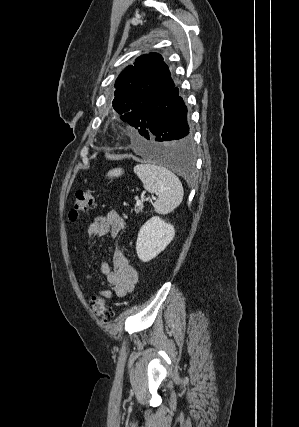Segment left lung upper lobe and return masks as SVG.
<instances>
[{"label": "left lung upper lobe", "mask_w": 299, "mask_h": 427, "mask_svg": "<svg viewBox=\"0 0 299 427\" xmlns=\"http://www.w3.org/2000/svg\"><path fill=\"white\" fill-rule=\"evenodd\" d=\"M175 87L168 66L160 54L149 53L127 66L115 82L113 108L121 119L133 125L139 109L162 101Z\"/></svg>", "instance_id": "left-lung-upper-lobe-1"}]
</instances>
